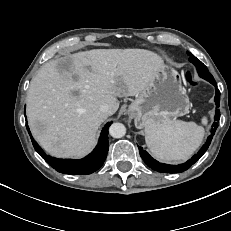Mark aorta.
I'll return each mask as SVG.
<instances>
[{
    "label": "aorta",
    "mask_w": 231,
    "mask_h": 231,
    "mask_svg": "<svg viewBox=\"0 0 231 231\" xmlns=\"http://www.w3.org/2000/svg\"><path fill=\"white\" fill-rule=\"evenodd\" d=\"M109 134L113 138H121L126 134V127L122 123H113L109 128Z\"/></svg>",
    "instance_id": "762f6f07"
}]
</instances>
